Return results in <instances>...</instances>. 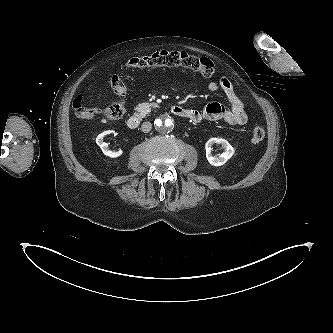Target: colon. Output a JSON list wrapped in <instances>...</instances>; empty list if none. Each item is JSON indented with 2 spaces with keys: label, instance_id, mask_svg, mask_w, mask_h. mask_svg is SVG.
<instances>
[{
  "label": "colon",
  "instance_id": "colon-1",
  "mask_svg": "<svg viewBox=\"0 0 333 333\" xmlns=\"http://www.w3.org/2000/svg\"><path fill=\"white\" fill-rule=\"evenodd\" d=\"M127 66L133 69H155L160 67L182 66L197 71L203 75L210 76L214 73V63L207 57H196L182 51H156L145 56L132 57L128 60ZM110 86L118 100L112 102L105 109L85 107L83 98L78 96L73 107L79 118L92 122H105L119 119L124 115V101L127 87L122 77L114 73L110 79ZM251 140L254 143L262 141L265 137V130L262 127H254L251 131Z\"/></svg>",
  "mask_w": 333,
  "mask_h": 333
}]
</instances>
